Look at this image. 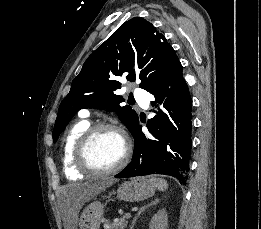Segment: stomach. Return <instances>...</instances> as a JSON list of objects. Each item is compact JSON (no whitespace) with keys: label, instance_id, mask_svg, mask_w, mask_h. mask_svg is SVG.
Returning <instances> with one entry per match:
<instances>
[{"label":"stomach","instance_id":"0dacf381","mask_svg":"<svg viewBox=\"0 0 261 229\" xmlns=\"http://www.w3.org/2000/svg\"><path fill=\"white\" fill-rule=\"evenodd\" d=\"M157 187L152 179H143L137 177L132 181H126L120 185L117 191V197L121 201H129V203H138L145 201L149 197H153ZM104 215V207L100 203H91L84 209L80 217V229H99L100 221Z\"/></svg>","mask_w":261,"mask_h":229}]
</instances>
